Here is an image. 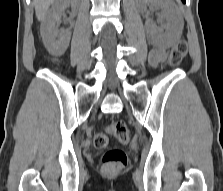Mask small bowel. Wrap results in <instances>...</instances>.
Returning a JSON list of instances; mask_svg holds the SVG:
<instances>
[{"label":"small bowel","mask_w":223,"mask_h":191,"mask_svg":"<svg viewBox=\"0 0 223 191\" xmlns=\"http://www.w3.org/2000/svg\"><path fill=\"white\" fill-rule=\"evenodd\" d=\"M166 51L163 48H155L150 52L149 55V62L155 66V67H159L162 65V63L165 61L166 59Z\"/></svg>","instance_id":"small-bowel-1"}]
</instances>
